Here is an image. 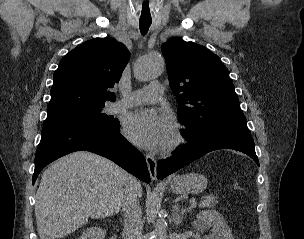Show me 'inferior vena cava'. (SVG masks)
<instances>
[{
  "label": "inferior vena cava",
  "mask_w": 304,
  "mask_h": 239,
  "mask_svg": "<svg viewBox=\"0 0 304 239\" xmlns=\"http://www.w3.org/2000/svg\"><path fill=\"white\" fill-rule=\"evenodd\" d=\"M137 180L129 176L127 185L121 194V206L124 217V234L126 239H143L142 211L136 192Z\"/></svg>",
  "instance_id": "602c4592"
}]
</instances>
